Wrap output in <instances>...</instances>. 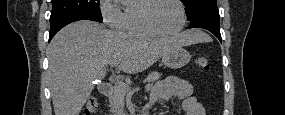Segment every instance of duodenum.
<instances>
[{
  "instance_id": "obj_1",
  "label": "duodenum",
  "mask_w": 285,
  "mask_h": 115,
  "mask_svg": "<svg viewBox=\"0 0 285 115\" xmlns=\"http://www.w3.org/2000/svg\"><path fill=\"white\" fill-rule=\"evenodd\" d=\"M113 90V86L111 83L109 82H105V83H102L100 86H99V92L102 96H107L110 94V92Z\"/></svg>"
}]
</instances>
